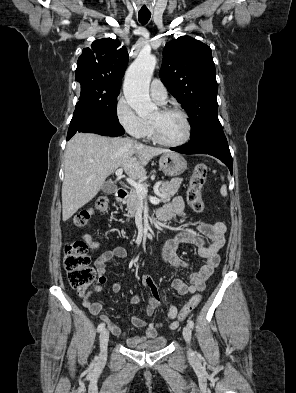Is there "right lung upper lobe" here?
Here are the masks:
<instances>
[{"label": "right lung upper lobe", "mask_w": 296, "mask_h": 393, "mask_svg": "<svg viewBox=\"0 0 296 393\" xmlns=\"http://www.w3.org/2000/svg\"><path fill=\"white\" fill-rule=\"evenodd\" d=\"M128 64V52L116 39L95 40L78 59L76 80L104 91H120L121 79Z\"/></svg>", "instance_id": "obj_1"}]
</instances>
